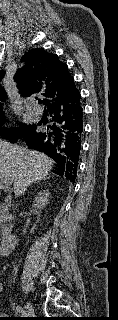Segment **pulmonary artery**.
I'll return each instance as SVG.
<instances>
[{
    "instance_id": "pulmonary-artery-1",
    "label": "pulmonary artery",
    "mask_w": 118,
    "mask_h": 320,
    "mask_svg": "<svg viewBox=\"0 0 118 320\" xmlns=\"http://www.w3.org/2000/svg\"><path fill=\"white\" fill-rule=\"evenodd\" d=\"M26 109L29 113L33 114L34 116H39L41 114V110L37 104L28 103L26 105Z\"/></svg>"
}]
</instances>
